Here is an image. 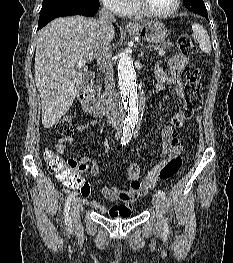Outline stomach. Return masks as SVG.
Instances as JSON below:
<instances>
[{
  "instance_id": "obj_1",
  "label": "stomach",
  "mask_w": 233,
  "mask_h": 263,
  "mask_svg": "<svg viewBox=\"0 0 233 263\" xmlns=\"http://www.w3.org/2000/svg\"><path fill=\"white\" fill-rule=\"evenodd\" d=\"M128 32L135 37L154 44L164 42L168 35L165 25L158 21L137 24L133 29H128Z\"/></svg>"
}]
</instances>
